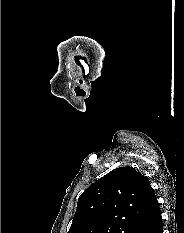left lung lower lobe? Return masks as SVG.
<instances>
[{
  "instance_id": "0a47b994",
  "label": "left lung lower lobe",
  "mask_w": 184,
  "mask_h": 233,
  "mask_svg": "<svg viewBox=\"0 0 184 233\" xmlns=\"http://www.w3.org/2000/svg\"><path fill=\"white\" fill-rule=\"evenodd\" d=\"M134 233H163L162 217L155 194Z\"/></svg>"
}]
</instances>
